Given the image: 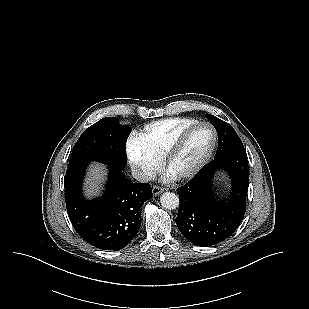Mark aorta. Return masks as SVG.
<instances>
[{"label": "aorta", "instance_id": "aorta-1", "mask_svg": "<svg viewBox=\"0 0 309 309\" xmlns=\"http://www.w3.org/2000/svg\"><path fill=\"white\" fill-rule=\"evenodd\" d=\"M161 205L169 210H174L179 206V198L175 193L165 192L160 197Z\"/></svg>", "mask_w": 309, "mask_h": 309}]
</instances>
